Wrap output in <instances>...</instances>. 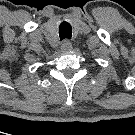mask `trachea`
Listing matches in <instances>:
<instances>
[{
	"mask_svg": "<svg viewBox=\"0 0 135 135\" xmlns=\"http://www.w3.org/2000/svg\"><path fill=\"white\" fill-rule=\"evenodd\" d=\"M72 28L71 25L67 22H62L59 26V36L60 40L71 39Z\"/></svg>",
	"mask_w": 135,
	"mask_h": 135,
	"instance_id": "trachea-1",
	"label": "trachea"
}]
</instances>
